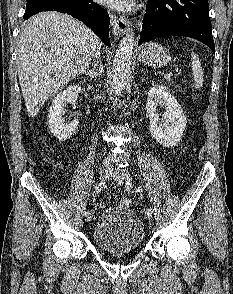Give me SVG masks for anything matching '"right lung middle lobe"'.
<instances>
[{"mask_svg":"<svg viewBox=\"0 0 233 294\" xmlns=\"http://www.w3.org/2000/svg\"><path fill=\"white\" fill-rule=\"evenodd\" d=\"M39 1H41V0H28L27 4H26V8H28L29 6L35 4V3L39 2Z\"/></svg>","mask_w":233,"mask_h":294,"instance_id":"right-lung-middle-lobe-1","label":"right lung middle lobe"}]
</instances>
